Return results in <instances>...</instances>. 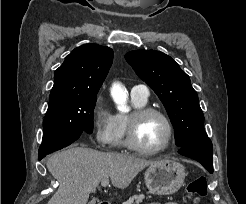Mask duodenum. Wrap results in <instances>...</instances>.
<instances>
[{
    "label": "duodenum",
    "mask_w": 246,
    "mask_h": 204,
    "mask_svg": "<svg viewBox=\"0 0 246 204\" xmlns=\"http://www.w3.org/2000/svg\"><path fill=\"white\" fill-rule=\"evenodd\" d=\"M99 204H110L109 202H101Z\"/></svg>",
    "instance_id": "duodenum-1"
}]
</instances>
